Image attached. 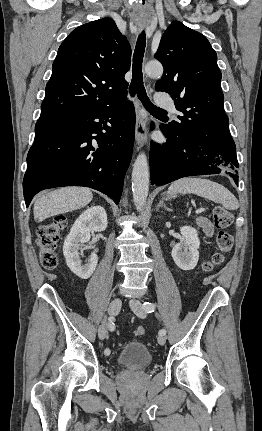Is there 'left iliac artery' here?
I'll list each match as a JSON object with an SVG mask.
<instances>
[{
  "mask_svg": "<svg viewBox=\"0 0 262 431\" xmlns=\"http://www.w3.org/2000/svg\"><path fill=\"white\" fill-rule=\"evenodd\" d=\"M143 308H144V310H145V311H147V312L151 313V312H153V311H154V309H155V304H153V303H151V302H144V303H143ZM159 334H160V335H165V334H166L165 329H161V330L159 331Z\"/></svg>",
  "mask_w": 262,
  "mask_h": 431,
  "instance_id": "44dca946",
  "label": "left iliac artery"
}]
</instances>
